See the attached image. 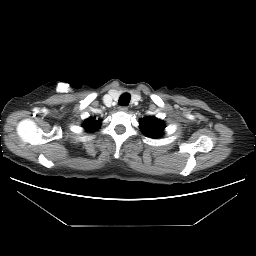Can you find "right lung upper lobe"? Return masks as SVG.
I'll return each instance as SVG.
<instances>
[{
  "label": "right lung upper lobe",
  "instance_id": "1",
  "mask_svg": "<svg viewBox=\"0 0 256 256\" xmlns=\"http://www.w3.org/2000/svg\"><path fill=\"white\" fill-rule=\"evenodd\" d=\"M101 121L95 120V118H88L84 121V127L87 131H94L99 128Z\"/></svg>",
  "mask_w": 256,
  "mask_h": 256
}]
</instances>
